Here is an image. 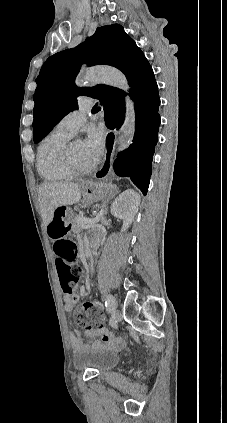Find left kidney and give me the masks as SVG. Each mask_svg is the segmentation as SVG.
<instances>
[{"instance_id": "1", "label": "left kidney", "mask_w": 227, "mask_h": 423, "mask_svg": "<svg viewBox=\"0 0 227 423\" xmlns=\"http://www.w3.org/2000/svg\"><path fill=\"white\" fill-rule=\"evenodd\" d=\"M140 206V196L134 190H125L111 206V213L115 217L123 219L121 231H126L130 227Z\"/></svg>"}]
</instances>
